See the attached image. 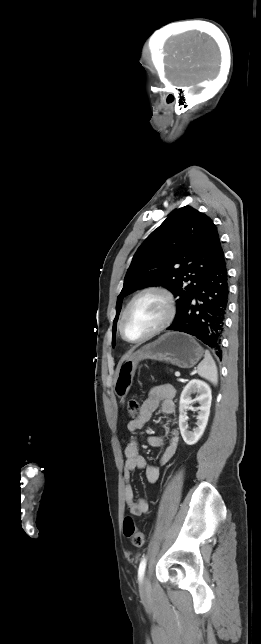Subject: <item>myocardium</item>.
<instances>
[{
    "mask_svg": "<svg viewBox=\"0 0 261 644\" xmlns=\"http://www.w3.org/2000/svg\"><path fill=\"white\" fill-rule=\"evenodd\" d=\"M149 293H156V294L161 295L164 298V300L166 302V305H167L166 316H165L164 320L162 321V323L159 326H157L154 330L149 332L147 335H145V336H143V337H141L139 339H130V338L127 337L126 331H125V324H126V319H127L128 314H129V311H130L132 305L135 303V301L138 298H140L141 296H143L145 294H149ZM176 313H177L176 300H175V297H174L173 293L168 288H166L164 286H160V285L147 286V287L141 289L140 291H138L131 298V300L128 302V304L126 305V307H125V309H124V311L122 313L120 324H119L120 334H121L122 338L125 341L129 342V343H132V344L143 343V342L153 338L154 336L160 334L164 330H166L173 323V321H174V319L176 317Z\"/></svg>",
    "mask_w": 261,
    "mask_h": 644,
    "instance_id": "f54148a6",
    "label": "myocardium"
}]
</instances>
